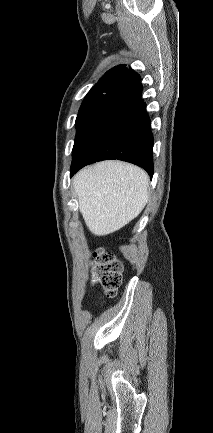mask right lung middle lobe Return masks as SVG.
Wrapping results in <instances>:
<instances>
[{
    "mask_svg": "<svg viewBox=\"0 0 213 433\" xmlns=\"http://www.w3.org/2000/svg\"><path fill=\"white\" fill-rule=\"evenodd\" d=\"M116 95H101L95 96L91 98H86L82 102V105L79 109V114L76 119V129L77 134L75 138L76 140L81 136V134L85 131L89 123L93 120V118L104 108L106 107Z\"/></svg>",
    "mask_w": 213,
    "mask_h": 433,
    "instance_id": "right-lung-middle-lobe-1",
    "label": "right lung middle lobe"
}]
</instances>
